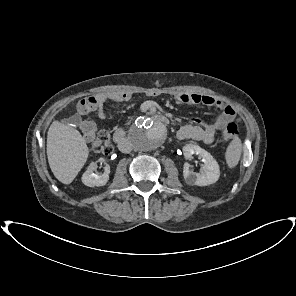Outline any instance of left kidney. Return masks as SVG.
Listing matches in <instances>:
<instances>
[{
	"label": "left kidney",
	"mask_w": 296,
	"mask_h": 296,
	"mask_svg": "<svg viewBox=\"0 0 296 296\" xmlns=\"http://www.w3.org/2000/svg\"><path fill=\"white\" fill-rule=\"evenodd\" d=\"M184 157L191 160L193 155H198L204 162L201 173L190 170L188 163L184 164L183 176L186 184L207 186L218 181L220 176L219 164L213 156L198 145L186 144L183 147Z\"/></svg>",
	"instance_id": "left-kidney-1"
}]
</instances>
